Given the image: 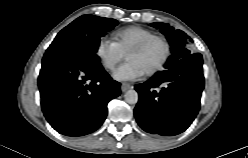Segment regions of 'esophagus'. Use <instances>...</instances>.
I'll return each mask as SVG.
<instances>
[{
	"instance_id": "1",
	"label": "esophagus",
	"mask_w": 248,
	"mask_h": 158,
	"mask_svg": "<svg viewBox=\"0 0 248 158\" xmlns=\"http://www.w3.org/2000/svg\"><path fill=\"white\" fill-rule=\"evenodd\" d=\"M131 88H132V86L130 84H128V83H122V85H121V90L123 92H126L127 90H129Z\"/></svg>"
}]
</instances>
